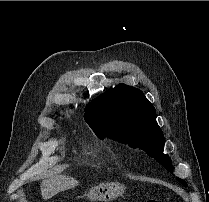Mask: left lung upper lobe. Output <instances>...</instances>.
Listing matches in <instances>:
<instances>
[{
    "mask_svg": "<svg viewBox=\"0 0 209 202\" xmlns=\"http://www.w3.org/2000/svg\"><path fill=\"white\" fill-rule=\"evenodd\" d=\"M84 119L97 136L140 147L172 172L171 158L163 154L165 139L155 108L139 89L119 84L107 90L86 106Z\"/></svg>",
    "mask_w": 209,
    "mask_h": 202,
    "instance_id": "obj_1",
    "label": "left lung upper lobe"
}]
</instances>
